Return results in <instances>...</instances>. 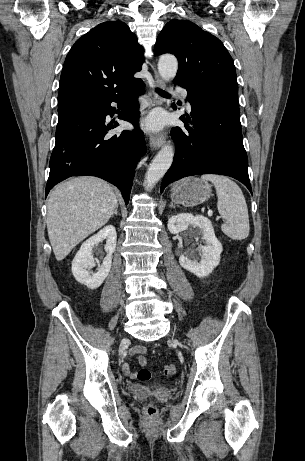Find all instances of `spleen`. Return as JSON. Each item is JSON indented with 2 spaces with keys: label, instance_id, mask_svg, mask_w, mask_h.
<instances>
[{
  "label": "spleen",
  "instance_id": "spleen-1",
  "mask_svg": "<svg viewBox=\"0 0 305 461\" xmlns=\"http://www.w3.org/2000/svg\"><path fill=\"white\" fill-rule=\"evenodd\" d=\"M201 181H210L215 186L218 212L225 220L221 225L223 233L233 240L247 238L250 231L248 208L240 187L231 179L216 174L202 175Z\"/></svg>",
  "mask_w": 305,
  "mask_h": 461
}]
</instances>
